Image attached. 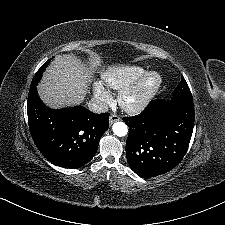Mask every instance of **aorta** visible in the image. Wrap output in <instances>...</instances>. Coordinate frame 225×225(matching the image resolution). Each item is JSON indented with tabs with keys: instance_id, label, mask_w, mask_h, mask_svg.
I'll list each match as a JSON object with an SVG mask.
<instances>
[{
	"instance_id": "762f6f07",
	"label": "aorta",
	"mask_w": 225,
	"mask_h": 225,
	"mask_svg": "<svg viewBox=\"0 0 225 225\" xmlns=\"http://www.w3.org/2000/svg\"><path fill=\"white\" fill-rule=\"evenodd\" d=\"M112 130L115 135L119 137L126 136L128 133V127L124 122H116L112 126Z\"/></svg>"
}]
</instances>
